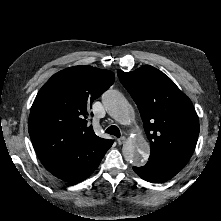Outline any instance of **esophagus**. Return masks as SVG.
<instances>
[{
    "label": "esophagus",
    "mask_w": 221,
    "mask_h": 221,
    "mask_svg": "<svg viewBox=\"0 0 221 221\" xmlns=\"http://www.w3.org/2000/svg\"><path fill=\"white\" fill-rule=\"evenodd\" d=\"M125 141H126V137L124 136L117 139V142L119 145L123 144Z\"/></svg>",
    "instance_id": "esophagus-1"
}]
</instances>
